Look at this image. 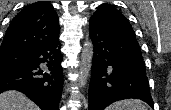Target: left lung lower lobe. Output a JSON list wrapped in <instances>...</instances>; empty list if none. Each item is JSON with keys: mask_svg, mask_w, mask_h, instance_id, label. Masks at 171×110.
Masks as SVG:
<instances>
[{"mask_svg": "<svg viewBox=\"0 0 171 110\" xmlns=\"http://www.w3.org/2000/svg\"><path fill=\"white\" fill-rule=\"evenodd\" d=\"M89 35L94 45L89 110H104L109 104L137 98L153 107L139 44L112 33L91 18Z\"/></svg>", "mask_w": 171, "mask_h": 110, "instance_id": "obj_1", "label": "left lung lower lobe"}]
</instances>
